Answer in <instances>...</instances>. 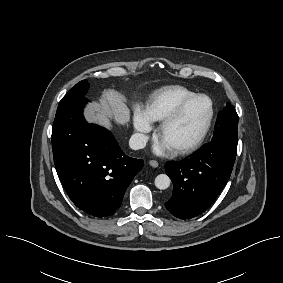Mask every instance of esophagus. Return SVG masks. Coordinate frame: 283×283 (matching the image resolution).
Instances as JSON below:
<instances>
[{
    "instance_id": "1",
    "label": "esophagus",
    "mask_w": 283,
    "mask_h": 283,
    "mask_svg": "<svg viewBox=\"0 0 283 283\" xmlns=\"http://www.w3.org/2000/svg\"><path fill=\"white\" fill-rule=\"evenodd\" d=\"M149 165L152 166L153 168H156L158 167L159 164L156 160H150Z\"/></svg>"
}]
</instances>
